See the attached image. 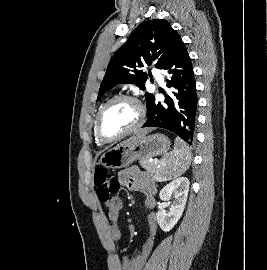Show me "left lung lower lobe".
<instances>
[{
	"instance_id": "obj_1",
	"label": "left lung lower lobe",
	"mask_w": 267,
	"mask_h": 270,
	"mask_svg": "<svg viewBox=\"0 0 267 270\" xmlns=\"http://www.w3.org/2000/svg\"><path fill=\"white\" fill-rule=\"evenodd\" d=\"M163 70L168 74L167 87L172 91L165 93L163 103H156L154 99L143 127L167 129L183 139L186 145H193L198 100L191 59L182 40Z\"/></svg>"
}]
</instances>
